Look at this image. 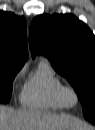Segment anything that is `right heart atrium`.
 <instances>
[{"label":"right heart atrium","mask_w":95,"mask_h":130,"mask_svg":"<svg viewBox=\"0 0 95 130\" xmlns=\"http://www.w3.org/2000/svg\"><path fill=\"white\" fill-rule=\"evenodd\" d=\"M23 74V70H20L14 77L13 79V85H15L17 83V81L19 80V78L22 76Z\"/></svg>","instance_id":"right-heart-atrium-1"}]
</instances>
